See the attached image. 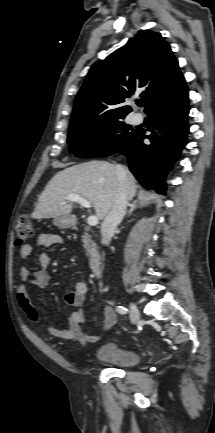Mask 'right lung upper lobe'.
<instances>
[{
	"mask_svg": "<svg viewBox=\"0 0 215 433\" xmlns=\"http://www.w3.org/2000/svg\"><path fill=\"white\" fill-rule=\"evenodd\" d=\"M185 82L177 59L160 33L143 30L127 45L94 64L78 92L70 125L125 117V99L143 89L147 108Z\"/></svg>",
	"mask_w": 215,
	"mask_h": 433,
	"instance_id": "1",
	"label": "right lung upper lobe"
}]
</instances>
